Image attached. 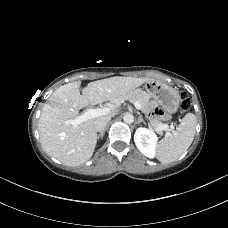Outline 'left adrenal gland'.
<instances>
[{"label":"left adrenal gland","mask_w":228,"mask_h":228,"mask_svg":"<svg viewBox=\"0 0 228 228\" xmlns=\"http://www.w3.org/2000/svg\"><path fill=\"white\" fill-rule=\"evenodd\" d=\"M138 115H139V117H138V122L137 123L139 124V123L143 122L146 125V122L144 121L142 115L140 113H138Z\"/></svg>","instance_id":"1"}]
</instances>
